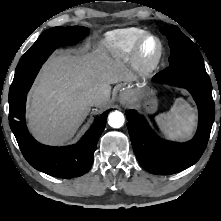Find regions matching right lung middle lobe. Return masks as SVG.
Here are the masks:
<instances>
[{
  "instance_id": "obj_1",
  "label": "right lung middle lobe",
  "mask_w": 221,
  "mask_h": 221,
  "mask_svg": "<svg viewBox=\"0 0 221 221\" xmlns=\"http://www.w3.org/2000/svg\"><path fill=\"white\" fill-rule=\"evenodd\" d=\"M82 26L54 27L44 31L21 57L9 90V103L27 93L42 64L58 47L78 43L88 35Z\"/></svg>"
}]
</instances>
